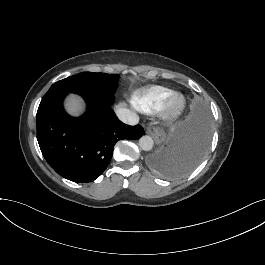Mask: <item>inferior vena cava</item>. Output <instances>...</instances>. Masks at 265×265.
<instances>
[{
	"mask_svg": "<svg viewBox=\"0 0 265 265\" xmlns=\"http://www.w3.org/2000/svg\"><path fill=\"white\" fill-rule=\"evenodd\" d=\"M118 119L130 126L139 124V117L129 109L121 108L116 111Z\"/></svg>",
	"mask_w": 265,
	"mask_h": 265,
	"instance_id": "inferior-vena-cava-1",
	"label": "inferior vena cava"
}]
</instances>
